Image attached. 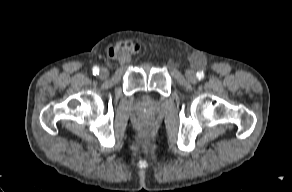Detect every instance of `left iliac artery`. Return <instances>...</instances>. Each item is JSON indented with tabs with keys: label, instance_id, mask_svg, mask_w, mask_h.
Instances as JSON below:
<instances>
[{
	"label": "left iliac artery",
	"instance_id": "44dca946",
	"mask_svg": "<svg viewBox=\"0 0 292 192\" xmlns=\"http://www.w3.org/2000/svg\"><path fill=\"white\" fill-rule=\"evenodd\" d=\"M196 77L201 80L204 78V73L203 72H197Z\"/></svg>",
	"mask_w": 292,
	"mask_h": 192
}]
</instances>
